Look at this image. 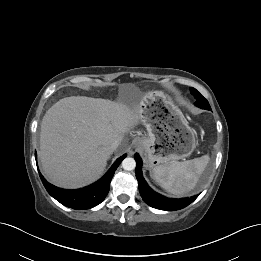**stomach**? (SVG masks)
<instances>
[{"instance_id": "stomach-1", "label": "stomach", "mask_w": 261, "mask_h": 261, "mask_svg": "<svg viewBox=\"0 0 261 261\" xmlns=\"http://www.w3.org/2000/svg\"><path fill=\"white\" fill-rule=\"evenodd\" d=\"M142 110L141 122L148 133L137 142L150 169L191 155L196 148L195 131L167 94L161 91L148 93L143 99Z\"/></svg>"}]
</instances>
